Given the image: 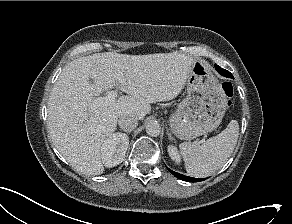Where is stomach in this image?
<instances>
[{
	"instance_id": "0dacf381",
	"label": "stomach",
	"mask_w": 292,
	"mask_h": 224,
	"mask_svg": "<svg viewBox=\"0 0 292 224\" xmlns=\"http://www.w3.org/2000/svg\"><path fill=\"white\" fill-rule=\"evenodd\" d=\"M187 96L170 117L172 132L191 140L215 130L227 106L226 94L208 64L194 59L186 79Z\"/></svg>"
}]
</instances>
